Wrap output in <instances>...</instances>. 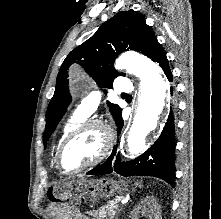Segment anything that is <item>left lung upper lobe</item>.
<instances>
[{"label":"left lung upper lobe","instance_id":"5c2ea615","mask_svg":"<svg viewBox=\"0 0 221 219\" xmlns=\"http://www.w3.org/2000/svg\"><path fill=\"white\" fill-rule=\"evenodd\" d=\"M159 45L143 15L128 10L118 12L103 23L91 38L71 51L61 65L55 93L47 109L44 146L46 147V141L71 102L67 80V70L71 64H80L100 87L111 88L114 78L119 75L113 66L118 54L131 49L152 58ZM107 103L118 124L122 120L121 108L110 102Z\"/></svg>","mask_w":221,"mask_h":219}]
</instances>
